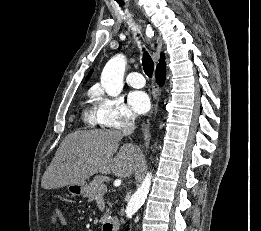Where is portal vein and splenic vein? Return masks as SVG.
Instances as JSON below:
<instances>
[{
  "instance_id": "18ae733b",
  "label": "portal vein and splenic vein",
  "mask_w": 261,
  "mask_h": 231,
  "mask_svg": "<svg viewBox=\"0 0 261 231\" xmlns=\"http://www.w3.org/2000/svg\"><path fill=\"white\" fill-rule=\"evenodd\" d=\"M100 191H102V192H105V191H107V187H106V186H104V187H101V188H100Z\"/></svg>"
}]
</instances>
